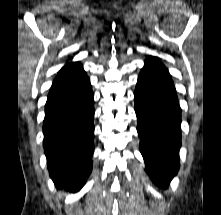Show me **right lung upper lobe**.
Masks as SVG:
<instances>
[{"label": "right lung upper lobe", "mask_w": 221, "mask_h": 215, "mask_svg": "<svg viewBox=\"0 0 221 215\" xmlns=\"http://www.w3.org/2000/svg\"><path fill=\"white\" fill-rule=\"evenodd\" d=\"M82 71L84 70L80 62H69L58 72L53 85L72 78Z\"/></svg>", "instance_id": "right-lung-upper-lobe-1"}]
</instances>
